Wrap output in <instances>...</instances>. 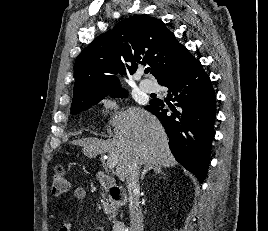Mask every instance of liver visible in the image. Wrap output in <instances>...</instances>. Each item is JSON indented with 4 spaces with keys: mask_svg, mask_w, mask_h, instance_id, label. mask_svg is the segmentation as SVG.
<instances>
[{
    "mask_svg": "<svg viewBox=\"0 0 268 231\" xmlns=\"http://www.w3.org/2000/svg\"><path fill=\"white\" fill-rule=\"evenodd\" d=\"M112 139L85 138L75 141L89 157L113 153L118 157L116 176L124 181L134 160L147 166L174 167L176 161L168 146V137L160 121L140 107L120 111L111 120Z\"/></svg>",
    "mask_w": 268,
    "mask_h": 231,
    "instance_id": "6515ba94",
    "label": "liver"
}]
</instances>
